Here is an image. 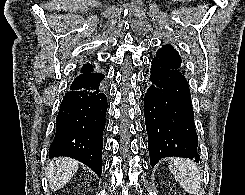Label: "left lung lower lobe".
Segmentation results:
<instances>
[{
  "label": "left lung lower lobe",
  "instance_id": "1",
  "mask_svg": "<svg viewBox=\"0 0 245 195\" xmlns=\"http://www.w3.org/2000/svg\"><path fill=\"white\" fill-rule=\"evenodd\" d=\"M149 80L144 114L151 166L161 158L172 156L199 162L191 95L182 71L154 57Z\"/></svg>",
  "mask_w": 245,
  "mask_h": 195
}]
</instances>
